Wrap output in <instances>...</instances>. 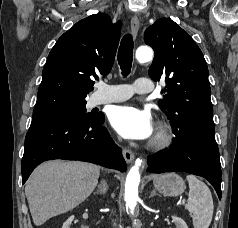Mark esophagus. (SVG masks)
<instances>
[{
	"label": "esophagus",
	"mask_w": 238,
	"mask_h": 228,
	"mask_svg": "<svg viewBox=\"0 0 238 228\" xmlns=\"http://www.w3.org/2000/svg\"><path fill=\"white\" fill-rule=\"evenodd\" d=\"M139 27H140V21L137 15H133L131 18V32L134 38H136L138 34ZM123 157L127 163H131L134 160L135 155L129 149H123Z\"/></svg>",
	"instance_id": "obj_1"
}]
</instances>
